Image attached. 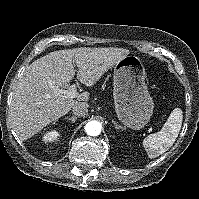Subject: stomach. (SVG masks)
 I'll return each instance as SVG.
<instances>
[{
	"label": "stomach",
	"mask_w": 199,
	"mask_h": 199,
	"mask_svg": "<svg viewBox=\"0 0 199 199\" xmlns=\"http://www.w3.org/2000/svg\"><path fill=\"white\" fill-rule=\"evenodd\" d=\"M146 72L139 57L127 55L114 67V104L118 119L127 127L141 129L153 114L154 103L145 84Z\"/></svg>",
	"instance_id": "obj_1"
}]
</instances>
